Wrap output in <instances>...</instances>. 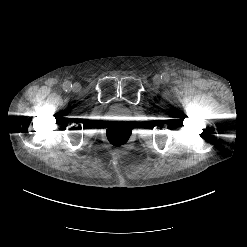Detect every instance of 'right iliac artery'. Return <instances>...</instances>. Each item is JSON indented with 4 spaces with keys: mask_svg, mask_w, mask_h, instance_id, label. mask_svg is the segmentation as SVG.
I'll return each mask as SVG.
<instances>
[{
    "mask_svg": "<svg viewBox=\"0 0 247 247\" xmlns=\"http://www.w3.org/2000/svg\"><path fill=\"white\" fill-rule=\"evenodd\" d=\"M63 88H64V90L68 91L72 88V84L70 82H65L63 84Z\"/></svg>",
    "mask_w": 247,
    "mask_h": 247,
    "instance_id": "right-iliac-artery-1",
    "label": "right iliac artery"
}]
</instances>
